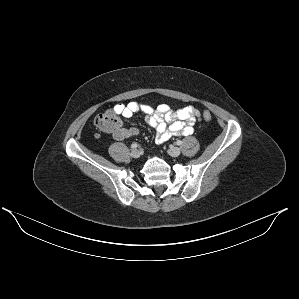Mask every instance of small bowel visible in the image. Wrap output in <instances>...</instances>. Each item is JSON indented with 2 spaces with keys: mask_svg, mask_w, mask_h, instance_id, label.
Wrapping results in <instances>:
<instances>
[{
  "mask_svg": "<svg viewBox=\"0 0 299 299\" xmlns=\"http://www.w3.org/2000/svg\"><path fill=\"white\" fill-rule=\"evenodd\" d=\"M115 110L123 117L130 118L138 112L145 115L147 123L155 129L156 142L162 144L173 136L191 135L194 131L193 125L199 118V113L193 107L188 106L174 111L167 104H160L154 108L147 104L137 102L117 103ZM139 130L135 127L121 128L113 133L116 140H124L137 136Z\"/></svg>",
  "mask_w": 299,
  "mask_h": 299,
  "instance_id": "obj_1",
  "label": "small bowel"
}]
</instances>
